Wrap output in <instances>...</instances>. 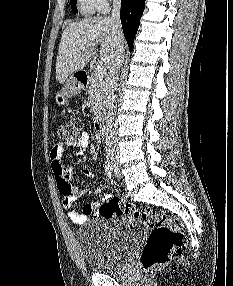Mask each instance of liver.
<instances>
[{
  "mask_svg": "<svg viewBox=\"0 0 233 286\" xmlns=\"http://www.w3.org/2000/svg\"><path fill=\"white\" fill-rule=\"evenodd\" d=\"M118 42L124 44L123 35L119 36V28L108 17H91L70 23L63 31L59 45L57 80L64 83L69 75L83 69L96 54L98 45L101 46V60L109 69ZM82 46L88 48L82 50Z\"/></svg>",
  "mask_w": 233,
  "mask_h": 286,
  "instance_id": "obj_1",
  "label": "liver"
}]
</instances>
